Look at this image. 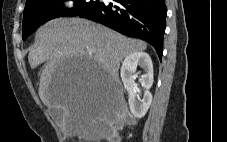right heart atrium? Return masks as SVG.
<instances>
[{"label":"right heart atrium","mask_w":227,"mask_h":142,"mask_svg":"<svg viewBox=\"0 0 227 142\" xmlns=\"http://www.w3.org/2000/svg\"><path fill=\"white\" fill-rule=\"evenodd\" d=\"M58 7L62 11H71L75 7L74 0H58Z\"/></svg>","instance_id":"right-heart-atrium-1"}]
</instances>
